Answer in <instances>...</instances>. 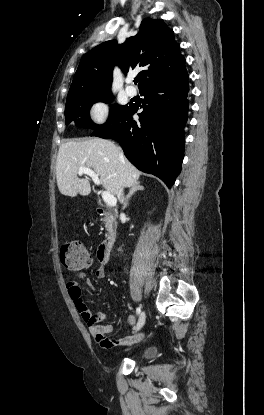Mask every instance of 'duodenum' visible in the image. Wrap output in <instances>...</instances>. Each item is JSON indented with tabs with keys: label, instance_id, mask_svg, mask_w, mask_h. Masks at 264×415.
<instances>
[{
	"label": "duodenum",
	"instance_id": "obj_1",
	"mask_svg": "<svg viewBox=\"0 0 264 415\" xmlns=\"http://www.w3.org/2000/svg\"><path fill=\"white\" fill-rule=\"evenodd\" d=\"M98 212L100 214H104L109 220L111 219V215L107 208H99ZM116 243V232L113 230L111 231L110 235L103 240L99 249H98V258L102 263H108L111 257L112 250Z\"/></svg>",
	"mask_w": 264,
	"mask_h": 415
}]
</instances>
